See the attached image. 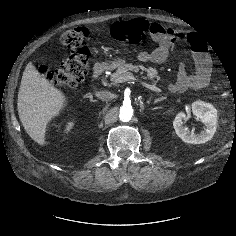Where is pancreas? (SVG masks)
Instances as JSON below:
<instances>
[{"mask_svg": "<svg viewBox=\"0 0 236 236\" xmlns=\"http://www.w3.org/2000/svg\"><path fill=\"white\" fill-rule=\"evenodd\" d=\"M145 71L147 72V77L150 79L153 78H157L159 80V76H158V72L156 69L149 67V68H145L142 65H133V64H125V65H121L118 67V69L116 70V72L112 73L110 78L113 82H115L117 79H119L120 77H126V76H131L132 72H139V70Z\"/></svg>", "mask_w": 236, "mask_h": 236, "instance_id": "cf45deb5", "label": "pancreas"}]
</instances>
